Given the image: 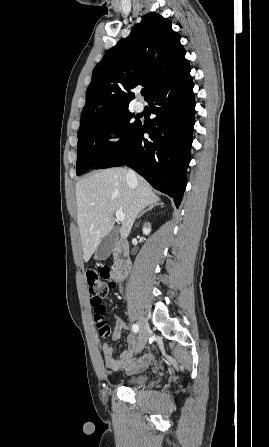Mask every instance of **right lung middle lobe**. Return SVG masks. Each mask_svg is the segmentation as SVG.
<instances>
[{
  "instance_id": "dd1d6c3e",
  "label": "right lung middle lobe",
  "mask_w": 269,
  "mask_h": 447,
  "mask_svg": "<svg viewBox=\"0 0 269 447\" xmlns=\"http://www.w3.org/2000/svg\"><path fill=\"white\" fill-rule=\"evenodd\" d=\"M134 114L128 108L107 112L87 125L79 128L76 174L97 167L116 150L138 128L140 122L132 121ZM112 129L121 137L117 143H111L108 134Z\"/></svg>"
}]
</instances>
